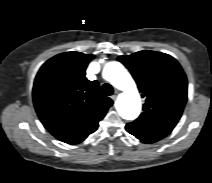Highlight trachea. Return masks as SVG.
<instances>
[{
    "label": "trachea",
    "instance_id": "1",
    "mask_svg": "<svg viewBox=\"0 0 212 183\" xmlns=\"http://www.w3.org/2000/svg\"><path fill=\"white\" fill-rule=\"evenodd\" d=\"M102 91L107 96H110L114 93L113 87L108 83L102 85Z\"/></svg>",
    "mask_w": 212,
    "mask_h": 183
}]
</instances>
